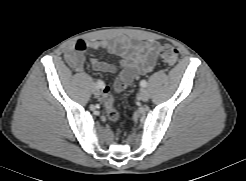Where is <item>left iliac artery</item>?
<instances>
[{"instance_id":"44dca946","label":"left iliac artery","mask_w":246,"mask_h":181,"mask_svg":"<svg viewBox=\"0 0 246 181\" xmlns=\"http://www.w3.org/2000/svg\"><path fill=\"white\" fill-rule=\"evenodd\" d=\"M140 86H141V87H146V86H147V82H146L145 80H142V81L140 82Z\"/></svg>"}]
</instances>
